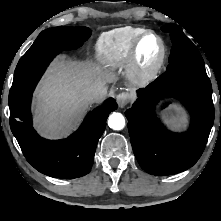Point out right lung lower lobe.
I'll return each instance as SVG.
<instances>
[{
    "mask_svg": "<svg viewBox=\"0 0 221 221\" xmlns=\"http://www.w3.org/2000/svg\"><path fill=\"white\" fill-rule=\"evenodd\" d=\"M32 93L10 105V127L27 161L39 172L63 179L86 175L93 164L99 138L109 114L117 109L113 98L88 114L80 128L64 140L41 138L32 127Z\"/></svg>",
    "mask_w": 221,
    "mask_h": 221,
    "instance_id": "obj_1",
    "label": "right lung lower lobe"
}]
</instances>
